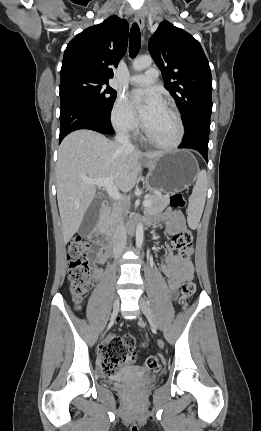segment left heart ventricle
Returning a JSON list of instances; mask_svg holds the SVG:
<instances>
[{
    "label": "left heart ventricle",
    "mask_w": 261,
    "mask_h": 431,
    "mask_svg": "<svg viewBox=\"0 0 261 431\" xmlns=\"http://www.w3.org/2000/svg\"><path fill=\"white\" fill-rule=\"evenodd\" d=\"M149 133L159 142H172L177 135L174 115L163 105L145 125Z\"/></svg>",
    "instance_id": "left-heart-ventricle-1"
}]
</instances>
